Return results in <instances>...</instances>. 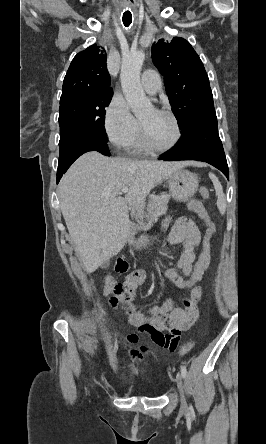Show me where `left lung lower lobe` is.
Segmentation results:
<instances>
[{"mask_svg": "<svg viewBox=\"0 0 266 444\" xmlns=\"http://www.w3.org/2000/svg\"><path fill=\"white\" fill-rule=\"evenodd\" d=\"M182 137L168 153L161 155L160 160H198L207 162L229 179V169L218 134L215 111L194 119L182 130Z\"/></svg>", "mask_w": 266, "mask_h": 444, "instance_id": "left-lung-lower-lobe-1", "label": "left lung lower lobe"}]
</instances>
